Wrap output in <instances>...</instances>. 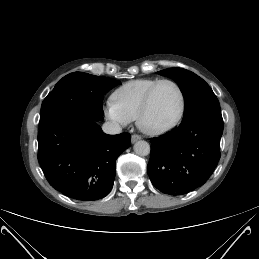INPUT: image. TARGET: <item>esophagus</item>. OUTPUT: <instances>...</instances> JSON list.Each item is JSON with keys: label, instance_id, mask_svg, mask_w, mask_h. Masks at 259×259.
<instances>
[{"label": "esophagus", "instance_id": "esophagus-1", "mask_svg": "<svg viewBox=\"0 0 259 259\" xmlns=\"http://www.w3.org/2000/svg\"><path fill=\"white\" fill-rule=\"evenodd\" d=\"M140 139H141V136H139V135L134 134V135L131 136V142L132 143H135L136 141H138Z\"/></svg>", "mask_w": 259, "mask_h": 259}]
</instances>
